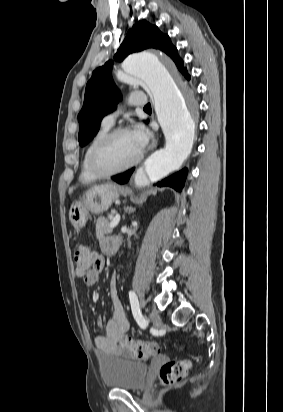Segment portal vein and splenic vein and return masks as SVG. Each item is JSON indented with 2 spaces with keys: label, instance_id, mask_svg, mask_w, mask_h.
<instances>
[{
  "label": "portal vein and splenic vein",
  "instance_id": "1",
  "mask_svg": "<svg viewBox=\"0 0 283 412\" xmlns=\"http://www.w3.org/2000/svg\"><path fill=\"white\" fill-rule=\"evenodd\" d=\"M119 221H120V215H115V217L111 220V222H110V227L111 228H114V227H116L118 224H119Z\"/></svg>",
  "mask_w": 283,
  "mask_h": 412
}]
</instances>
